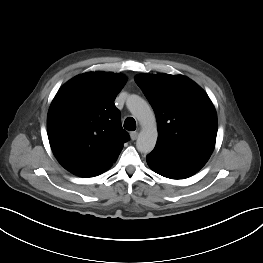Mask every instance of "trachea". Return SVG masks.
I'll return each instance as SVG.
<instances>
[{"mask_svg":"<svg viewBox=\"0 0 263 263\" xmlns=\"http://www.w3.org/2000/svg\"><path fill=\"white\" fill-rule=\"evenodd\" d=\"M124 128L128 131L136 130V121L132 117H128L124 122Z\"/></svg>","mask_w":263,"mask_h":263,"instance_id":"3493384b","label":"trachea"}]
</instances>
